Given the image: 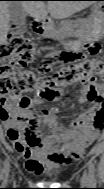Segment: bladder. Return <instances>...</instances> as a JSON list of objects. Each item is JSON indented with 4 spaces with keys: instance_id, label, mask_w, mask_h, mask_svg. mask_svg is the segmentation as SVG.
<instances>
[{
    "instance_id": "obj_1",
    "label": "bladder",
    "mask_w": 104,
    "mask_h": 189,
    "mask_svg": "<svg viewBox=\"0 0 104 189\" xmlns=\"http://www.w3.org/2000/svg\"><path fill=\"white\" fill-rule=\"evenodd\" d=\"M46 176L48 177V178H55L56 176H57V172H55V171H48V172H46Z\"/></svg>"
}]
</instances>
